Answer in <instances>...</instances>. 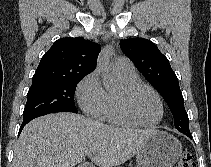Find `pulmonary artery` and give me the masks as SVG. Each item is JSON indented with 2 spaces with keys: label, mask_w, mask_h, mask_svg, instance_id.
Returning a JSON list of instances; mask_svg holds the SVG:
<instances>
[{
  "label": "pulmonary artery",
  "mask_w": 211,
  "mask_h": 167,
  "mask_svg": "<svg viewBox=\"0 0 211 167\" xmlns=\"http://www.w3.org/2000/svg\"><path fill=\"white\" fill-rule=\"evenodd\" d=\"M113 67L116 71L133 72V63L127 57H117L113 62Z\"/></svg>",
  "instance_id": "obj_1"
}]
</instances>
